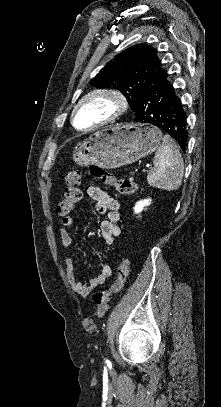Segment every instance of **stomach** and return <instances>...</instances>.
I'll use <instances>...</instances> for the list:
<instances>
[{
    "label": "stomach",
    "instance_id": "1",
    "mask_svg": "<svg viewBox=\"0 0 221 407\" xmlns=\"http://www.w3.org/2000/svg\"><path fill=\"white\" fill-rule=\"evenodd\" d=\"M162 133L144 123H126L95 132L73 151L80 166L95 164L106 169L136 162L160 146Z\"/></svg>",
    "mask_w": 221,
    "mask_h": 407
}]
</instances>
